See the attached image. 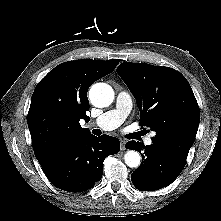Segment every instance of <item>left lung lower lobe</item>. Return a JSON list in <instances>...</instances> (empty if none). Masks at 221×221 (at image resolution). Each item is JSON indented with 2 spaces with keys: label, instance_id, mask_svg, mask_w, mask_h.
Wrapping results in <instances>:
<instances>
[{
  "label": "left lung lower lobe",
  "instance_id": "0a47b994",
  "mask_svg": "<svg viewBox=\"0 0 221 221\" xmlns=\"http://www.w3.org/2000/svg\"><path fill=\"white\" fill-rule=\"evenodd\" d=\"M126 148L138 152L144 149L141 165L131 174L134 186L140 191H154L170 185L186 164L187 158L159 143L152 142L145 147L129 141Z\"/></svg>",
  "mask_w": 221,
  "mask_h": 221
}]
</instances>
